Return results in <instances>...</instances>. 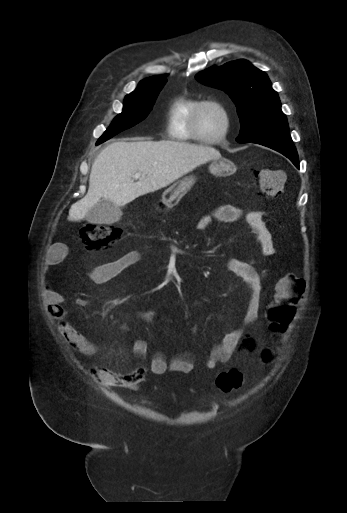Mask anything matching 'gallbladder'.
<instances>
[{
  "instance_id": "gallbladder-1",
  "label": "gallbladder",
  "mask_w": 347,
  "mask_h": 513,
  "mask_svg": "<svg viewBox=\"0 0 347 513\" xmlns=\"http://www.w3.org/2000/svg\"><path fill=\"white\" fill-rule=\"evenodd\" d=\"M122 214L121 206L102 199L88 211L85 219L93 224H113L120 220Z\"/></svg>"
}]
</instances>
